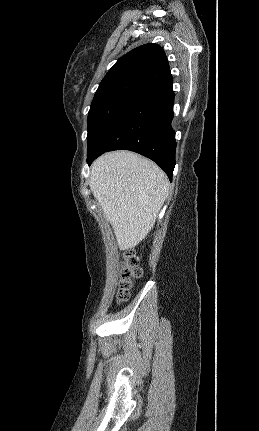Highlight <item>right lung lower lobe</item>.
Wrapping results in <instances>:
<instances>
[{
    "label": "right lung lower lobe",
    "instance_id": "right-lung-lower-lobe-1",
    "mask_svg": "<svg viewBox=\"0 0 259 431\" xmlns=\"http://www.w3.org/2000/svg\"><path fill=\"white\" fill-rule=\"evenodd\" d=\"M173 103L172 82L151 90L104 132L87 153V163L107 151L131 150L156 162L172 180L176 150Z\"/></svg>",
    "mask_w": 259,
    "mask_h": 431
}]
</instances>
